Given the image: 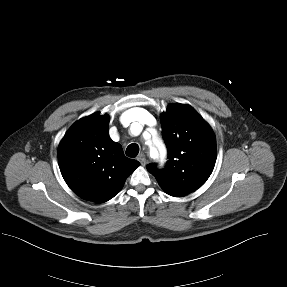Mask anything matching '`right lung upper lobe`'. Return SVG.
I'll return each instance as SVG.
<instances>
[{"mask_svg": "<svg viewBox=\"0 0 287 287\" xmlns=\"http://www.w3.org/2000/svg\"><path fill=\"white\" fill-rule=\"evenodd\" d=\"M109 116L94 113L75 122L58 147V162L67 185L97 203L113 198L140 165L127 158L108 134Z\"/></svg>", "mask_w": 287, "mask_h": 287, "instance_id": "right-lung-upper-lobe-1", "label": "right lung upper lobe"}]
</instances>
